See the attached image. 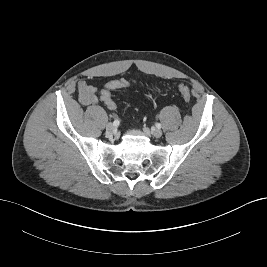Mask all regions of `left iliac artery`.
Segmentation results:
<instances>
[{"label":"left iliac artery","mask_w":267,"mask_h":267,"mask_svg":"<svg viewBox=\"0 0 267 267\" xmlns=\"http://www.w3.org/2000/svg\"><path fill=\"white\" fill-rule=\"evenodd\" d=\"M156 127H157L158 129H160V128H161V124H160V123H156Z\"/></svg>","instance_id":"44dca946"}]
</instances>
